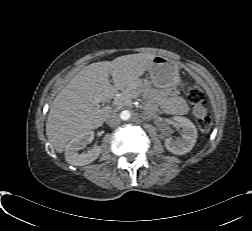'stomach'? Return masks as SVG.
<instances>
[{
    "label": "stomach",
    "instance_id": "obj_1",
    "mask_svg": "<svg viewBox=\"0 0 252 231\" xmlns=\"http://www.w3.org/2000/svg\"><path fill=\"white\" fill-rule=\"evenodd\" d=\"M148 71L151 83L159 89H176L180 85L176 66L163 56H155Z\"/></svg>",
    "mask_w": 252,
    "mask_h": 231
}]
</instances>
